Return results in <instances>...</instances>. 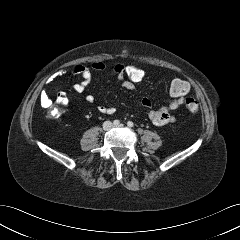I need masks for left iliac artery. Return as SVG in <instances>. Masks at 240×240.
Returning a JSON list of instances; mask_svg holds the SVG:
<instances>
[{
  "label": "left iliac artery",
  "instance_id": "left-iliac-artery-1",
  "mask_svg": "<svg viewBox=\"0 0 240 240\" xmlns=\"http://www.w3.org/2000/svg\"><path fill=\"white\" fill-rule=\"evenodd\" d=\"M127 125H128L129 127H133V126H134V123H133L132 121H128Z\"/></svg>",
  "mask_w": 240,
  "mask_h": 240
}]
</instances>
